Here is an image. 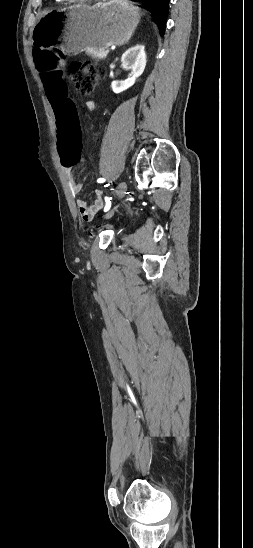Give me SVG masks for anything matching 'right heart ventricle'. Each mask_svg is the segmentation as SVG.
Segmentation results:
<instances>
[{"mask_svg": "<svg viewBox=\"0 0 253 548\" xmlns=\"http://www.w3.org/2000/svg\"><path fill=\"white\" fill-rule=\"evenodd\" d=\"M55 1H57V2H62L63 0H55Z\"/></svg>", "mask_w": 253, "mask_h": 548, "instance_id": "e07e8e85", "label": "right heart ventricle"}]
</instances>
